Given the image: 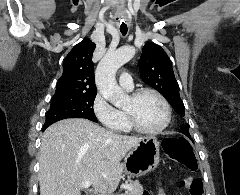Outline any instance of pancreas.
Wrapping results in <instances>:
<instances>
[{
	"instance_id": "obj_1",
	"label": "pancreas",
	"mask_w": 240,
	"mask_h": 195,
	"mask_svg": "<svg viewBox=\"0 0 240 195\" xmlns=\"http://www.w3.org/2000/svg\"><path fill=\"white\" fill-rule=\"evenodd\" d=\"M128 185H131L132 189H128V193H120V195H142L143 185L138 179H129Z\"/></svg>"
}]
</instances>
